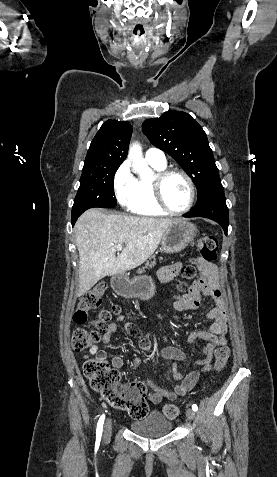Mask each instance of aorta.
Returning a JSON list of instances; mask_svg holds the SVG:
<instances>
[{"label":"aorta","mask_w":277,"mask_h":477,"mask_svg":"<svg viewBox=\"0 0 277 477\" xmlns=\"http://www.w3.org/2000/svg\"><path fill=\"white\" fill-rule=\"evenodd\" d=\"M128 157L132 162L133 169L139 172L142 177L152 172L148 165L143 162L142 149L138 144L130 147Z\"/></svg>","instance_id":"obj_1"}]
</instances>
